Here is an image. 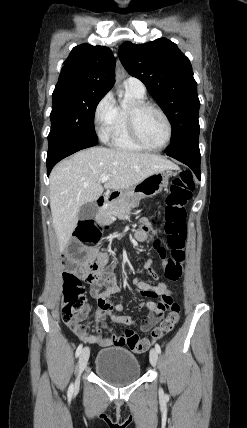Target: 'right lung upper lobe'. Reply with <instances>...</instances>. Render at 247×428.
Listing matches in <instances>:
<instances>
[{
  "label": "right lung upper lobe",
  "instance_id": "obj_1",
  "mask_svg": "<svg viewBox=\"0 0 247 428\" xmlns=\"http://www.w3.org/2000/svg\"><path fill=\"white\" fill-rule=\"evenodd\" d=\"M53 94L65 91L107 93L115 82V58L103 46L81 44L64 62Z\"/></svg>",
  "mask_w": 247,
  "mask_h": 428
}]
</instances>
